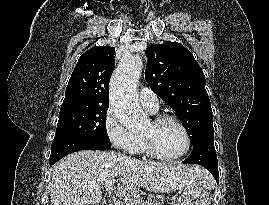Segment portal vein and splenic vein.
I'll return each instance as SVG.
<instances>
[{
  "instance_id": "portal-vein-and-splenic-vein-1",
  "label": "portal vein and splenic vein",
  "mask_w": 269,
  "mask_h": 205,
  "mask_svg": "<svg viewBox=\"0 0 269 205\" xmlns=\"http://www.w3.org/2000/svg\"><path fill=\"white\" fill-rule=\"evenodd\" d=\"M115 182H116L115 179L108 180V181L104 184V186H105V188H110V187H112V186L115 184ZM117 197H118V195H116V196L113 195V200L118 202V201H120V200H119ZM123 201H124V204H125V205H128V203H127V198L123 199Z\"/></svg>"
}]
</instances>
